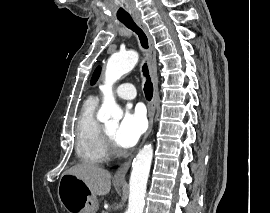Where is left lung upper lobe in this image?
<instances>
[{
    "instance_id": "obj_1",
    "label": "left lung upper lobe",
    "mask_w": 270,
    "mask_h": 213,
    "mask_svg": "<svg viewBox=\"0 0 270 213\" xmlns=\"http://www.w3.org/2000/svg\"><path fill=\"white\" fill-rule=\"evenodd\" d=\"M100 70H101L100 67H97V68H96V70H95V72H94V74H93V76H92V79H91V84H92V85L95 84V82L98 80L99 75H100Z\"/></svg>"
}]
</instances>
